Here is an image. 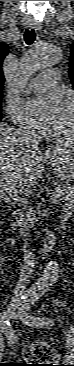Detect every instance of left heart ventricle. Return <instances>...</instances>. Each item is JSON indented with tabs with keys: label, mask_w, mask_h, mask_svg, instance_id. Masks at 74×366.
Wrapping results in <instances>:
<instances>
[{
	"label": "left heart ventricle",
	"mask_w": 74,
	"mask_h": 366,
	"mask_svg": "<svg viewBox=\"0 0 74 366\" xmlns=\"http://www.w3.org/2000/svg\"><path fill=\"white\" fill-rule=\"evenodd\" d=\"M72 129V115L69 104L64 102L62 104L61 114L52 129V132L60 136L66 137Z\"/></svg>",
	"instance_id": "obj_1"
}]
</instances>
